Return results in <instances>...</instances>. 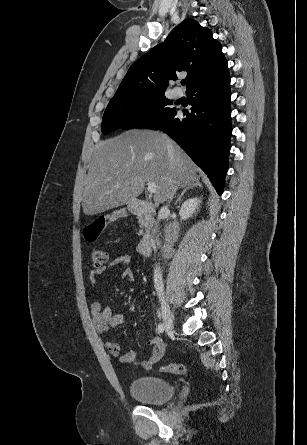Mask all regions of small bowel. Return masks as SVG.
Instances as JSON below:
<instances>
[{
    "label": "small bowel",
    "instance_id": "small-bowel-1",
    "mask_svg": "<svg viewBox=\"0 0 307 445\" xmlns=\"http://www.w3.org/2000/svg\"><path fill=\"white\" fill-rule=\"evenodd\" d=\"M131 256L129 254H122L113 258L107 266L101 268H94L90 271L88 280L90 285L94 288L97 285L98 277L104 275L108 269L114 267H123L122 277L127 280H134V272L130 267ZM90 312L93 319L95 329L105 336L110 328L124 324L127 320L123 314H114L111 309L100 301H93L90 304ZM151 345L150 355L141 363L144 369H149L154 366L164 355L165 346L161 337L156 336L149 341ZM106 348L113 356L119 357V361L123 364H130L134 362L136 353L133 350L121 351L118 343L114 341H106Z\"/></svg>",
    "mask_w": 307,
    "mask_h": 445
}]
</instances>
